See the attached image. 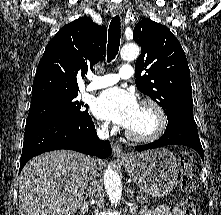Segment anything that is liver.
<instances>
[{
  "instance_id": "obj_1",
  "label": "liver",
  "mask_w": 221,
  "mask_h": 215,
  "mask_svg": "<svg viewBox=\"0 0 221 215\" xmlns=\"http://www.w3.org/2000/svg\"><path fill=\"white\" fill-rule=\"evenodd\" d=\"M92 161L56 150L32 158L19 180V215H74L82 205Z\"/></svg>"
}]
</instances>
